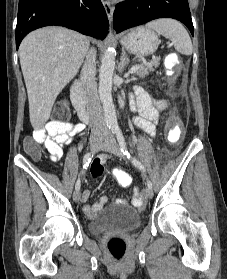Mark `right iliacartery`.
Instances as JSON below:
<instances>
[{
  "label": "right iliac artery",
  "mask_w": 227,
  "mask_h": 279,
  "mask_svg": "<svg viewBox=\"0 0 227 279\" xmlns=\"http://www.w3.org/2000/svg\"><path fill=\"white\" fill-rule=\"evenodd\" d=\"M93 157V153H87L84 158H83V170L82 173L84 172L85 169H87V167L89 166V163L91 162V159ZM80 178H78L76 185H75V189L79 190L80 189Z\"/></svg>",
  "instance_id": "obj_1"
}]
</instances>
